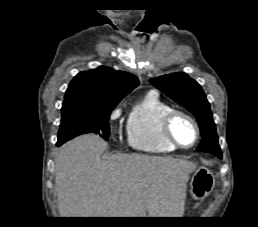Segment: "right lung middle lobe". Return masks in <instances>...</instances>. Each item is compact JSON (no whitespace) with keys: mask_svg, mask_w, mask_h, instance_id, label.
<instances>
[{"mask_svg":"<svg viewBox=\"0 0 258 227\" xmlns=\"http://www.w3.org/2000/svg\"><path fill=\"white\" fill-rule=\"evenodd\" d=\"M116 105H93L80 101H64L58 142H66L78 135L94 133L108 140V120Z\"/></svg>","mask_w":258,"mask_h":227,"instance_id":"right-lung-middle-lobe-1","label":"right lung middle lobe"}]
</instances>
